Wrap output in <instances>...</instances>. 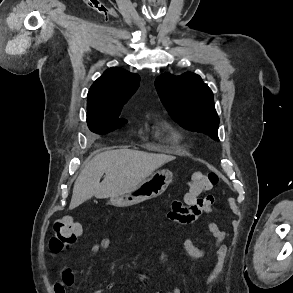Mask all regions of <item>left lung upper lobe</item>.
<instances>
[{
    "instance_id": "5c2ea615",
    "label": "left lung upper lobe",
    "mask_w": 293,
    "mask_h": 293,
    "mask_svg": "<svg viewBox=\"0 0 293 293\" xmlns=\"http://www.w3.org/2000/svg\"><path fill=\"white\" fill-rule=\"evenodd\" d=\"M155 87L171 117L192 131L218 138L219 118L214 107L211 89L196 74L160 75Z\"/></svg>"
}]
</instances>
